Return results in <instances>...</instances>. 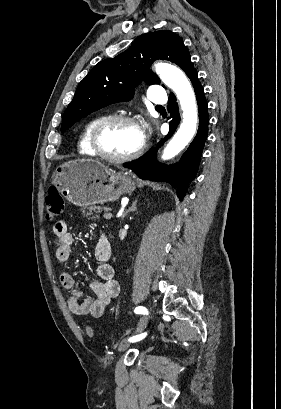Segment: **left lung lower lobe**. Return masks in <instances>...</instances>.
Instances as JSON below:
<instances>
[{
    "label": "left lung lower lobe",
    "instance_id": "obj_1",
    "mask_svg": "<svg viewBox=\"0 0 281 409\" xmlns=\"http://www.w3.org/2000/svg\"><path fill=\"white\" fill-rule=\"evenodd\" d=\"M189 78L196 94L199 113V128L196 137L187 151L182 155L180 161L170 166L155 161L158 148L163 145L168 139V136H172L180 122L176 97L171 93L168 100V112L170 113L169 118L171 119L169 122L168 136L157 144L156 149L152 148L138 160L124 164L125 168L131 169L142 179L170 183L174 188H177V196L181 201L186 194L189 182L195 178L197 173L204 143L208 134L209 123L207 102L204 96L203 87L198 80L196 69L192 71Z\"/></svg>",
    "mask_w": 281,
    "mask_h": 409
}]
</instances>
